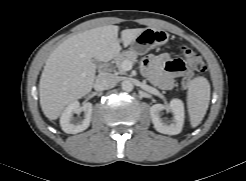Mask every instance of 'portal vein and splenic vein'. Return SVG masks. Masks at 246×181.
Masks as SVG:
<instances>
[{
	"label": "portal vein and splenic vein",
	"mask_w": 246,
	"mask_h": 181,
	"mask_svg": "<svg viewBox=\"0 0 246 181\" xmlns=\"http://www.w3.org/2000/svg\"><path fill=\"white\" fill-rule=\"evenodd\" d=\"M121 68L124 70V71H129L132 69V62L130 61H124L121 65Z\"/></svg>",
	"instance_id": "portal-vein-and-splenic-vein-1"
}]
</instances>
